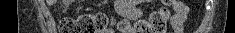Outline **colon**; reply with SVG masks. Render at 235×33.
I'll return each mask as SVG.
<instances>
[{
	"mask_svg": "<svg viewBox=\"0 0 235 33\" xmlns=\"http://www.w3.org/2000/svg\"><path fill=\"white\" fill-rule=\"evenodd\" d=\"M173 0L164 1L167 6ZM170 12L166 7L154 11L148 20H140L131 26L127 21L115 22L105 13H86L77 17H67L59 24L60 33H105L113 26L123 33H164Z\"/></svg>",
	"mask_w": 235,
	"mask_h": 33,
	"instance_id": "obj_1",
	"label": "colon"
}]
</instances>
